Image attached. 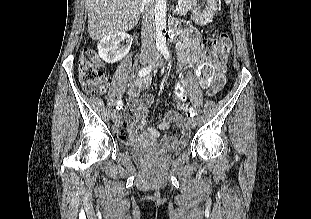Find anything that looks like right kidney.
Wrapping results in <instances>:
<instances>
[{
    "label": "right kidney",
    "mask_w": 311,
    "mask_h": 219,
    "mask_svg": "<svg viewBox=\"0 0 311 219\" xmlns=\"http://www.w3.org/2000/svg\"><path fill=\"white\" fill-rule=\"evenodd\" d=\"M125 44H121L122 42ZM132 44V39L125 32L110 34L98 43V53L102 60L109 64H113L129 52Z\"/></svg>",
    "instance_id": "1"
}]
</instances>
